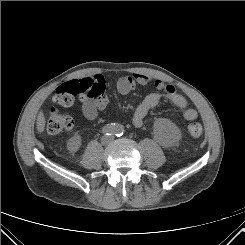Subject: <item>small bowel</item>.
Returning <instances> with one entry per match:
<instances>
[{
  "instance_id": "c3829d8e",
  "label": "small bowel",
  "mask_w": 245,
  "mask_h": 245,
  "mask_svg": "<svg viewBox=\"0 0 245 245\" xmlns=\"http://www.w3.org/2000/svg\"><path fill=\"white\" fill-rule=\"evenodd\" d=\"M84 80H89L93 83L96 94L84 99L82 112L87 119L94 120L97 118L99 111L109 106V99L104 93L105 80L101 74L91 75L90 77L84 78ZM138 85H152L155 91L146 95L136 107L132 117V123L135 127H141L148 113L162 100H166L173 106L180 108L183 112V117L188 121L195 120L198 117L197 111L188 107L187 99L177 93L172 85L164 84L160 79L134 73L132 75L121 76L116 83L117 91L121 95L129 94Z\"/></svg>"
}]
</instances>
